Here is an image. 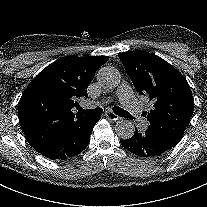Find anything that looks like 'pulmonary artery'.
<instances>
[{
  "label": "pulmonary artery",
  "instance_id": "pulmonary-artery-1",
  "mask_svg": "<svg viewBox=\"0 0 207 207\" xmlns=\"http://www.w3.org/2000/svg\"><path fill=\"white\" fill-rule=\"evenodd\" d=\"M118 94L119 92L122 95V101L124 104L127 105V110L131 114H136L140 110V105L138 102L135 101V95L132 91V86L127 81H122L118 85ZM110 101V100H108Z\"/></svg>",
  "mask_w": 207,
  "mask_h": 207
}]
</instances>
